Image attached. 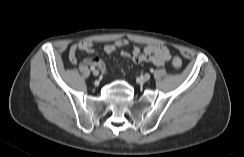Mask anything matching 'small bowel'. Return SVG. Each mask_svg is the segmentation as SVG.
Segmentation results:
<instances>
[{
    "label": "small bowel",
    "instance_id": "c3829d8e",
    "mask_svg": "<svg viewBox=\"0 0 244 157\" xmlns=\"http://www.w3.org/2000/svg\"><path fill=\"white\" fill-rule=\"evenodd\" d=\"M128 44V39H119L114 43L106 44L103 49L105 53L112 54L127 46ZM79 51L93 53L94 44L90 41H79L75 43L71 47L69 53V59L73 64L77 62V53ZM120 55L125 58L132 59L136 63L147 62L156 66L164 65L165 62L171 58V53L166 46L156 44H149L144 47L134 45L131 52L122 50L120 51ZM84 63L90 66H96L102 71L106 70L104 61L98 57H88L84 60Z\"/></svg>",
    "mask_w": 244,
    "mask_h": 157
}]
</instances>
